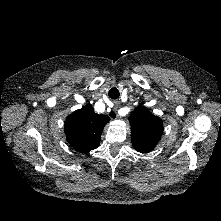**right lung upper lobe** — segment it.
I'll use <instances>...</instances> for the list:
<instances>
[{"mask_svg":"<svg viewBox=\"0 0 221 221\" xmlns=\"http://www.w3.org/2000/svg\"><path fill=\"white\" fill-rule=\"evenodd\" d=\"M110 118L94 112L91 105L76 110L65 122V134L68 143L78 152L87 153L96 149L104 126Z\"/></svg>","mask_w":221,"mask_h":221,"instance_id":"obj_1","label":"right lung upper lobe"}]
</instances>
